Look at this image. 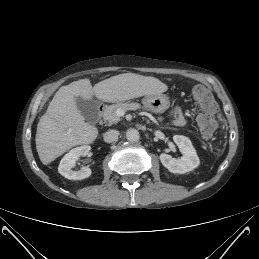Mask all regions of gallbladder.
Segmentation results:
<instances>
[{
    "label": "gallbladder",
    "instance_id": "bac80fb5",
    "mask_svg": "<svg viewBox=\"0 0 259 259\" xmlns=\"http://www.w3.org/2000/svg\"><path fill=\"white\" fill-rule=\"evenodd\" d=\"M76 105L81 114L89 122H94L98 116V102L95 98L85 100L82 97L75 98Z\"/></svg>",
    "mask_w": 259,
    "mask_h": 259
}]
</instances>
